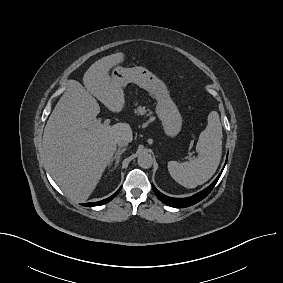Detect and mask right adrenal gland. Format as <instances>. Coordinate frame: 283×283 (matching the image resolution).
Listing matches in <instances>:
<instances>
[{
    "mask_svg": "<svg viewBox=\"0 0 283 283\" xmlns=\"http://www.w3.org/2000/svg\"><path fill=\"white\" fill-rule=\"evenodd\" d=\"M125 151H126V148L118 149L117 152L115 153V155L110 159L108 165L111 166L112 162L114 160H116L115 161V165H114V169H115L118 166V164H119L120 157H121L122 153L125 152Z\"/></svg>",
    "mask_w": 283,
    "mask_h": 283,
    "instance_id": "2a0ac1e0",
    "label": "right adrenal gland"
}]
</instances>
